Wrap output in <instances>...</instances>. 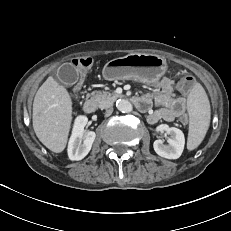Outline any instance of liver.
I'll return each instance as SVG.
<instances>
[{
	"instance_id": "obj_1",
	"label": "liver",
	"mask_w": 231,
	"mask_h": 231,
	"mask_svg": "<svg viewBox=\"0 0 231 231\" xmlns=\"http://www.w3.org/2000/svg\"><path fill=\"white\" fill-rule=\"evenodd\" d=\"M72 121V99L52 76L38 89L33 102V129L43 145L61 153L67 144Z\"/></svg>"
}]
</instances>
